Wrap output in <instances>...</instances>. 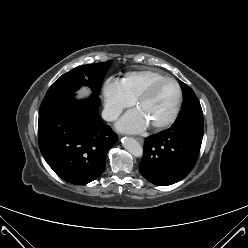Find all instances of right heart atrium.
I'll list each match as a JSON object with an SVG mask.
<instances>
[{"instance_id": "d8ad5b80", "label": "right heart atrium", "mask_w": 248, "mask_h": 248, "mask_svg": "<svg viewBox=\"0 0 248 248\" xmlns=\"http://www.w3.org/2000/svg\"><path fill=\"white\" fill-rule=\"evenodd\" d=\"M104 113L108 121L115 120L121 112L132 105L133 99L125 92L121 81L109 78L103 86Z\"/></svg>"}]
</instances>
